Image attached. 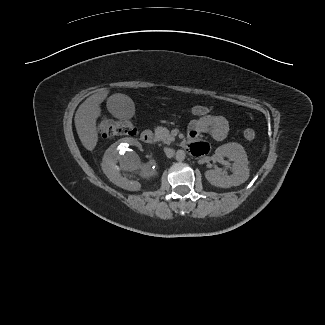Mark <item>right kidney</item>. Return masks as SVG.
<instances>
[{
	"label": "right kidney",
	"instance_id": "ca27d5eb",
	"mask_svg": "<svg viewBox=\"0 0 325 325\" xmlns=\"http://www.w3.org/2000/svg\"><path fill=\"white\" fill-rule=\"evenodd\" d=\"M152 165L153 162L144 159L142 145L127 137L112 144L105 151L101 167L112 183L129 191H137L142 184L146 185L155 176L156 170Z\"/></svg>",
	"mask_w": 325,
	"mask_h": 325
}]
</instances>
